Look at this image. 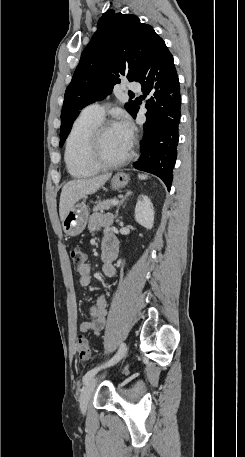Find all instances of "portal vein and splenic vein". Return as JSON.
<instances>
[{"mask_svg": "<svg viewBox=\"0 0 245 457\" xmlns=\"http://www.w3.org/2000/svg\"><path fill=\"white\" fill-rule=\"evenodd\" d=\"M119 200H116V198H114V200H112L111 204H118Z\"/></svg>", "mask_w": 245, "mask_h": 457, "instance_id": "1", "label": "portal vein and splenic vein"}]
</instances>
